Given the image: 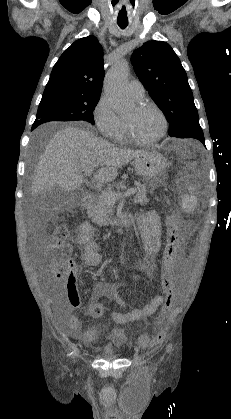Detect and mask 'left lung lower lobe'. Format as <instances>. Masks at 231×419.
<instances>
[{
	"instance_id": "0a47b994",
	"label": "left lung lower lobe",
	"mask_w": 231,
	"mask_h": 419,
	"mask_svg": "<svg viewBox=\"0 0 231 419\" xmlns=\"http://www.w3.org/2000/svg\"><path fill=\"white\" fill-rule=\"evenodd\" d=\"M172 137H178V138H194V139L199 140L200 142H202V144L205 145V140H204V135H203L202 129H200V130H191V131L185 132L183 134H179V135L172 136Z\"/></svg>"
}]
</instances>
